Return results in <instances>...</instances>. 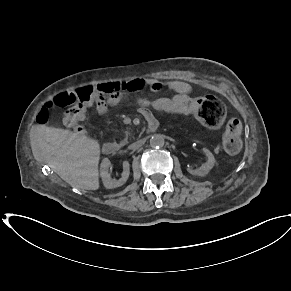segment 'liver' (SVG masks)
<instances>
[{"instance_id": "obj_1", "label": "liver", "mask_w": 291, "mask_h": 291, "mask_svg": "<svg viewBox=\"0 0 291 291\" xmlns=\"http://www.w3.org/2000/svg\"><path fill=\"white\" fill-rule=\"evenodd\" d=\"M30 141L35 159L48 163L68 184L78 189L99 188L97 140L67 129L35 125Z\"/></svg>"}]
</instances>
